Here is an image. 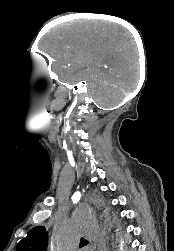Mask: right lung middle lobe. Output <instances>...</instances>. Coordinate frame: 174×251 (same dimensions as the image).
Listing matches in <instances>:
<instances>
[{
	"label": "right lung middle lobe",
	"instance_id": "1",
	"mask_svg": "<svg viewBox=\"0 0 174 251\" xmlns=\"http://www.w3.org/2000/svg\"><path fill=\"white\" fill-rule=\"evenodd\" d=\"M105 216H106V225H110L111 224V219H110L109 215L106 214Z\"/></svg>",
	"mask_w": 174,
	"mask_h": 251
}]
</instances>
